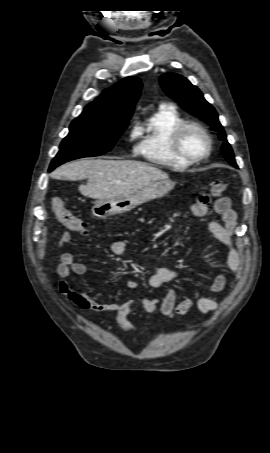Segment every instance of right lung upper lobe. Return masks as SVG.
<instances>
[{"label":"right lung upper lobe","instance_id":"right-lung-upper-lobe-1","mask_svg":"<svg viewBox=\"0 0 270 453\" xmlns=\"http://www.w3.org/2000/svg\"><path fill=\"white\" fill-rule=\"evenodd\" d=\"M141 81L127 77L105 90L87 105L78 118H94L113 124L126 125L141 92Z\"/></svg>","mask_w":270,"mask_h":453}]
</instances>
